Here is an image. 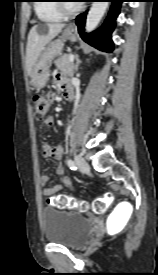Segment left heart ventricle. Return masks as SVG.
Masks as SVG:
<instances>
[{"instance_id": "1", "label": "left heart ventricle", "mask_w": 158, "mask_h": 275, "mask_svg": "<svg viewBox=\"0 0 158 275\" xmlns=\"http://www.w3.org/2000/svg\"><path fill=\"white\" fill-rule=\"evenodd\" d=\"M67 5H68L69 7H74V6H77V4H76V3H67Z\"/></svg>"}]
</instances>
